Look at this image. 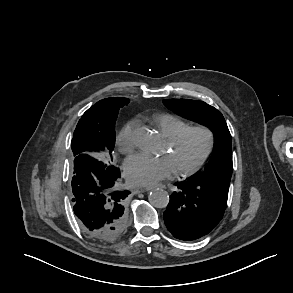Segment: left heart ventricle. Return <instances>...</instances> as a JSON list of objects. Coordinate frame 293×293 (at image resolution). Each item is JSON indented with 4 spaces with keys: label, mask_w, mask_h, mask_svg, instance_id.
<instances>
[{
    "label": "left heart ventricle",
    "mask_w": 293,
    "mask_h": 293,
    "mask_svg": "<svg viewBox=\"0 0 293 293\" xmlns=\"http://www.w3.org/2000/svg\"><path fill=\"white\" fill-rule=\"evenodd\" d=\"M204 146V135L190 133L176 148L166 145L165 153L172 159L176 171L190 166L200 155Z\"/></svg>",
    "instance_id": "1"
}]
</instances>
